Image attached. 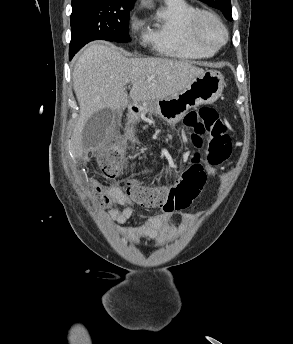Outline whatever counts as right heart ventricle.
Here are the masks:
<instances>
[{"instance_id":"obj_1","label":"right heart ventricle","mask_w":293,"mask_h":344,"mask_svg":"<svg viewBox=\"0 0 293 344\" xmlns=\"http://www.w3.org/2000/svg\"><path fill=\"white\" fill-rule=\"evenodd\" d=\"M198 12L187 0H165L145 26L143 42L165 57L184 60L211 57L215 52L199 47L190 37L189 25Z\"/></svg>"}]
</instances>
